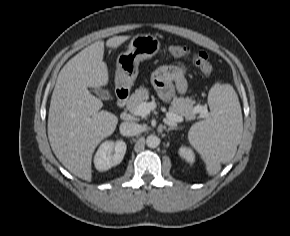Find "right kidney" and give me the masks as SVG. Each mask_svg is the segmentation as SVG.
I'll use <instances>...</instances> for the list:
<instances>
[{"mask_svg": "<svg viewBox=\"0 0 290 236\" xmlns=\"http://www.w3.org/2000/svg\"><path fill=\"white\" fill-rule=\"evenodd\" d=\"M126 143L123 140L103 142L95 156L94 165L99 171H107L118 165L124 158Z\"/></svg>", "mask_w": 290, "mask_h": 236, "instance_id": "1", "label": "right kidney"}]
</instances>
